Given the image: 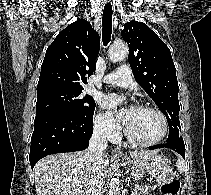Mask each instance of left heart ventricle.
I'll return each instance as SVG.
<instances>
[{
    "instance_id": "left-heart-ventricle-1",
    "label": "left heart ventricle",
    "mask_w": 211,
    "mask_h": 195,
    "mask_svg": "<svg viewBox=\"0 0 211 195\" xmlns=\"http://www.w3.org/2000/svg\"><path fill=\"white\" fill-rule=\"evenodd\" d=\"M129 133L137 140L152 141L163 131L161 118L153 111L133 108L125 123Z\"/></svg>"
}]
</instances>
